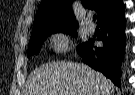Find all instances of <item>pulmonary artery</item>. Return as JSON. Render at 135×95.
Wrapping results in <instances>:
<instances>
[{
    "label": "pulmonary artery",
    "mask_w": 135,
    "mask_h": 95,
    "mask_svg": "<svg viewBox=\"0 0 135 95\" xmlns=\"http://www.w3.org/2000/svg\"><path fill=\"white\" fill-rule=\"evenodd\" d=\"M86 31L88 34H93L95 31V27L91 24L90 20L88 21Z\"/></svg>",
    "instance_id": "1"
}]
</instances>
